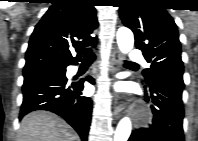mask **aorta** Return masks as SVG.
<instances>
[{
  "instance_id": "aorta-1",
  "label": "aorta",
  "mask_w": 198,
  "mask_h": 141,
  "mask_svg": "<svg viewBox=\"0 0 198 141\" xmlns=\"http://www.w3.org/2000/svg\"><path fill=\"white\" fill-rule=\"evenodd\" d=\"M117 44L123 54L130 52L134 46V36L130 29L121 27L117 31ZM132 124L129 117H124L117 125L114 141H127L130 137Z\"/></svg>"
}]
</instances>
